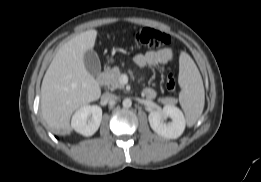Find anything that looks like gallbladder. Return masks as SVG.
<instances>
[{
    "mask_svg": "<svg viewBox=\"0 0 261 182\" xmlns=\"http://www.w3.org/2000/svg\"><path fill=\"white\" fill-rule=\"evenodd\" d=\"M84 65L86 70L93 77H97L101 71V63L94 50H87L84 54Z\"/></svg>",
    "mask_w": 261,
    "mask_h": 182,
    "instance_id": "bac80fb5",
    "label": "gallbladder"
}]
</instances>
